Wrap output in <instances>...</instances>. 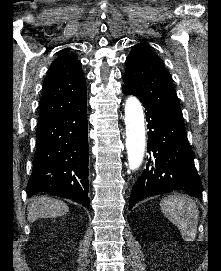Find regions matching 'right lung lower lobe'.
<instances>
[{"label":"right lung lower lobe","instance_id":"98d812e1","mask_svg":"<svg viewBox=\"0 0 221 271\" xmlns=\"http://www.w3.org/2000/svg\"><path fill=\"white\" fill-rule=\"evenodd\" d=\"M87 138V105L38 121L28 197L47 192L89 206Z\"/></svg>","mask_w":221,"mask_h":271}]
</instances>
